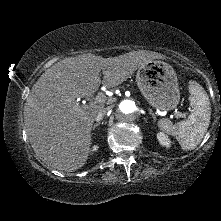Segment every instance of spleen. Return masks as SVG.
<instances>
[{
	"label": "spleen",
	"instance_id": "obj_1",
	"mask_svg": "<svg viewBox=\"0 0 221 221\" xmlns=\"http://www.w3.org/2000/svg\"><path fill=\"white\" fill-rule=\"evenodd\" d=\"M191 114L184 121L173 124L161 119L158 126L174 136L185 151L195 149L202 141L210 123L211 107L204 88L196 81L189 82Z\"/></svg>",
	"mask_w": 221,
	"mask_h": 221
}]
</instances>
